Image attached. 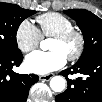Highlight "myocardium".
<instances>
[{"instance_id":"f54148a6","label":"myocardium","mask_w":102,"mask_h":102,"mask_svg":"<svg viewBox=\"0 0 102 102\" xmlns=\"http://www.w3.org/2000/svg\"><path fill=\"white\" fill-rule=\"evenodd\" d=\"M54 39L59 41L60 43H68L69 41L76 39L77 47L73 53L66 57L68 61H76L82 56L85 49V37L80 30L75 28L68 30L64 33L54 36Z\"/></svg>"}]
</instances>
